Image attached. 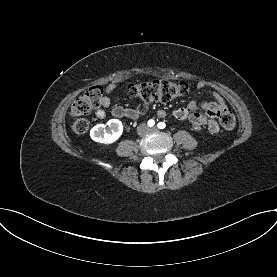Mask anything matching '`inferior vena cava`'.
Here are the masks:
<instances>
[{"label": "inferior vena cava", "instance_id": "1", "mask_svg": "<svg viewBox=\"0 0 277 277\" xmlns=\"http://www.w3.org/2000/svg\"><path fill=\"white\" fill-rule=\"evenodd\" d=\"M145 126L144 125H139L137 128V132L139 135L143 134V130H144Z\"/></svg>", "mask_w": 277, "mask_h": 277}]
</instances>
